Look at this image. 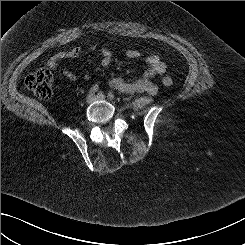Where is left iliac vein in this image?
Returning <instances> with one entry per match:
<instances>
[{"label": "left iliac vein", "mask_w": 245, "mask_h": 245, "mask_svg": "<svg viewBox=\"0 0 245 245\" xmlns=\"http://www.w3.org/2000/svg\"><path fill=\"white\" fill-rule=\"evenodd\" d=\"M106 96L105 95H97L96 100H105Z\"/></svg>", "instance_id": "1"}]
</instances>
